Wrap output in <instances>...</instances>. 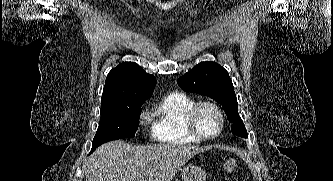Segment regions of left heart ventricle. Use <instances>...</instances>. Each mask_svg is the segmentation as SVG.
I'll return each instance as SVG.
<instances>
[{
	"mask_svg": "<svg viewBox=\"0 0 333 181\" xmlns=\"http://www.w3.org/2000/svg\"><path fill=\"white\" fill-rule=\"evenodd\" d=\"M197 124L200 131L206 136L216 134L219 129L218 116L208 107H204L200 110L197 116Z\"/></svg>",
	"mask_w": 333,
	"mask_h": 181,
	"instance_id": "left-heart-ventricle-1",
	"label": "left heart ventricle"
}]
</instances>
